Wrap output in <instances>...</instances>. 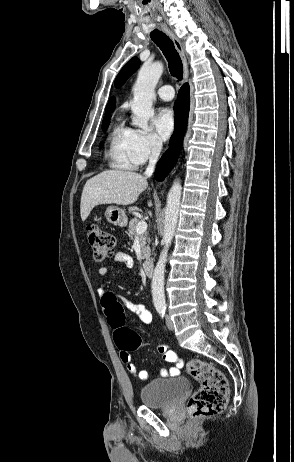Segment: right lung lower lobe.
<instances>
[{
    "instance_id": "right-lung-lower-lobe-1",
    "label": "right lung lower lobe",
    "mask_w": 294,
    "mask_h": 462,
    "mask_svg": "<svg viewBox=\"0 0 294 462\" xmlns=\"http://www.w3.org/2000/svg\"><path fill=\"white\" fill-rule=\"evenodd\" d=\"M189 106V86L188 84H184L178 93L174 105L175 131L170 140V147L166 154L159 160L155 171V178L157 180H163L177 160L187 125Z\"/></svg>"
}]
</instances>
